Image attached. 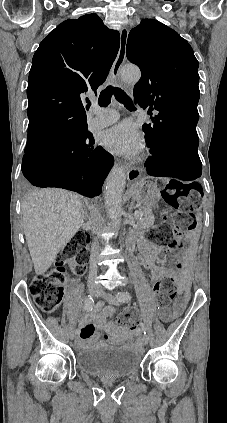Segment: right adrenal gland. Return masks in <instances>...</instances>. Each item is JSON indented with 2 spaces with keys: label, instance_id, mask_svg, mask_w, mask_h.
Here are the masks:
<instances>
[{
  "label": "right adrenal gland",
  "instance_id": "2a0ac1e0",
  "mask_svg": "<svg viewBox=\"0 0 227 423\" xmlns=\"http://www.w3.org/2000/svg\"><path fill=\"white\" fill-rule=\"evenodd\" d=\"M83 208H84V213H85V215H86V213H87V210H86L85 206H83Z\"/></svg>",
  "mask_w": 227,
  "mask_h": 423
}]
</instances>
